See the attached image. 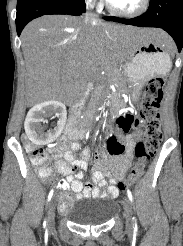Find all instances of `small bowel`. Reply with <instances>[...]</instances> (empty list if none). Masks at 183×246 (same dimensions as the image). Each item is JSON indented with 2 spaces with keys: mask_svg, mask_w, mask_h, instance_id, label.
<instances>
[{
  "mask_svg": "<svg viewBox=\"0 0 183 246\" xmlns=\"http://www.w3.org/2000/svg\"><path fill=\"white\" fill-rule=\"evenodd\" d=\"M83 135L82 131H79ZM124 147H127L124 157H111L109 153L105 154L100 151L96 155V164L93 168L91 178L84 184L82 179L83 172L75 173L76 169H87L90 159V150L84 148L80 150L79 158H76V152L80 149L78 140L68 141L61 138L57 146L50 149V153L57 161V170L65 176V179L58 184V188L62 190L70 189L75 193L76 199L104 196L116 197L119 190L115 185H108L105 176L110 177L113 181L121 179L130 167L133 159V152L136 145V136L128 134L126 137L118 138ZM107 150V149H106ZM98 188L107 189V192H99ZM61 203L67 211L71 204L72 198L68 194L61 196Z\"/></svg>",
  "mask_w": 183,
  "mask_h": 246,
  "instance_id": "1",
  "label": "small bowel"
}]
</instances>
